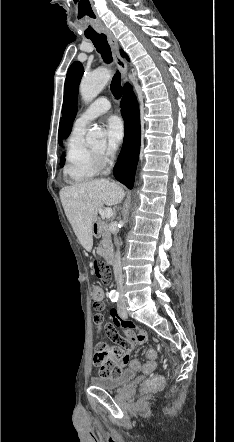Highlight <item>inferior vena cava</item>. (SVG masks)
I'll list each match as a JSON object with an SVG mask.
<instances>
[{"instance_id":"602c4592","label":"inferior vena cava","mask_w":234,"mask_h":442,"mask_svg":"<svg viewBox=\"0 0 234 442\" xmlns=\"http://www.w3.org/2000/svg\"><path fill=\"white\" fill-rule=\"evenodd\" d=\"M115 244L117 245V251L115 254L114 264H113V271L115 276V281L117 285V290L119 292L120 298L124 299V293H123V274H122V266H121V256H120V250H119V241L116 238L115 234Z\"/></svg>"}]
</instances>
